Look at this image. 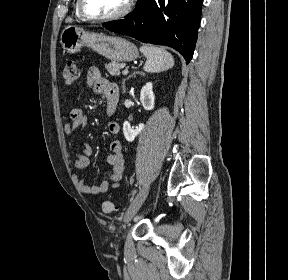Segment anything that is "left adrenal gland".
I'll return each instance as SVG.
<instances>
[{
	"mask_svg": "<svg viewBox=\"0 0 288 280\" xmlns=\"http://www.w3.org/2000/svg\"><path fill=\"white\" fill-rule=\"evenodd\" d=\"M138 74H139V75H144V72H142V71H136V72L132 73L131 75H129L126 79L123 80V82H122L123 92L126 91L125 82H126L127 80H129L131 77H135V76L138 75Z\"/></svg>",
	"mask_w": 288,
	"mask_h": 280,
	"instance_id": "1",
	"label": "left adrenal gland"
}]
</instances>
